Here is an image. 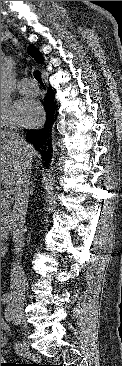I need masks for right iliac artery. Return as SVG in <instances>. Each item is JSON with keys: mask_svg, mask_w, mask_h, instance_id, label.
Here are the masks:
<instances>
[{"mask_svg": "<svg viewBox=\"0 0 122 366\" xmlns=\"http://www.w3.org/2000/svg\"><path fill=\"white\" fill-rule=\"evenodd\" d=\"M10 300H11V298H10V296H9V295H7V294L3 295V296H2V298H1V301H2L3 303H9V302H10Z\"/></svg>", "mask_w": 122, "mask_h": 366, "instance_id": "obj_1", "label": "right iliac artery"}]
</instances>
